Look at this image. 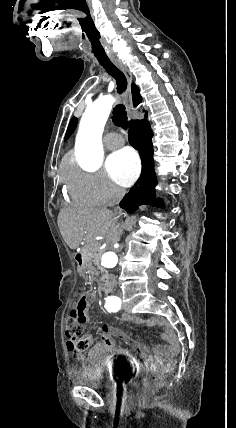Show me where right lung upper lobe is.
Returning <instances> with one entry per match:
<instances>
[{"label":"right lung upper lobe","instance_id":"right-lung-upper-lobe-1","mask_svg":"<svg viewBox=\"0 0 236 428\" xmlns=\"http://www.w3.org/2000/svg\"><path fill=\"white\" fill-rule=\"evenodd\" d=\"M132 96H133V103L134 105H138L141 101H142V97L140 96V92L138 87L133 83L132 84ZM135 120L131 121V124L134 122Z\"/></svg>","mask_w":236,"mask_h":428}]
</instances>
